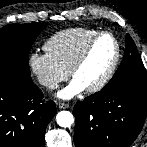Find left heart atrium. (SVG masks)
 Listing matches in <instances>:
<instances>
[{"mask_svg": "<svg viewBox=\"0 0 147 147\" xmlns=\"http://www.w3.org/2000/svg\"><path fill=\"white\" fill-rule=\"evenodd\" d=\"M85 89V86L79 80L74 78L66 87L58 92L57 96L61 99L69 100L80 94Z\"/></svg>", "mask_w": 147, "mask_h": 147, "instance_id": "obj_1", "label": "left heart atrium"}]
</instances>
